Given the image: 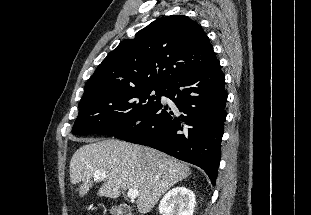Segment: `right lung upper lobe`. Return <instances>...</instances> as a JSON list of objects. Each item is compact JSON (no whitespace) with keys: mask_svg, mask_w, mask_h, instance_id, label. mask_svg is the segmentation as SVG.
<instances>
[{"mask_svg":"<svg viewBox=\"0 0 311 215\" xmlns=\"http://www.w3.org/2000/svg\"><path fill=\"white\" fill-rule=\"evenodd\" d=\"M216 60L213 46L196 21L184 15L162 17L107 55L87 81L82 99L137 87L163 88Z\"/></svg>","mask_w":311,"mask_h":215,"instance_id":"1","label":"right lung upper lobe"}]
</instances>
